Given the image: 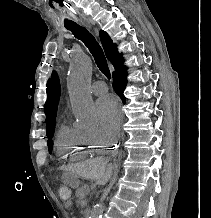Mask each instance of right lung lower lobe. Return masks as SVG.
<instances>
[{"label": "right lung lower lobe", "instance_id": "98d812e1", "mask_svg": "<svg viewBox=\"0 0 211 218\" xmlns=\"http://www.w3.org/2000/svg\"><path fill=\"white\" fill-rule=\"evenodd\" d=\"M123 60L118 62L117 64L113 65L115 68V72H113V88L117 95L124 99V89L126 87L127 81H126V67L122 65Z\"/></svg>", "mask_w": 211, "mask_h": 218}]
</instances>
